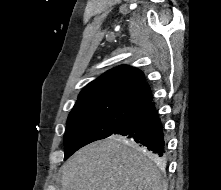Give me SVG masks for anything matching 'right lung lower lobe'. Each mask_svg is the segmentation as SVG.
Segmentation results:
<instances>
[{
	"label": "right lung lower lobe",
	"instance_id": "obj_1",
	"mask_svg": "<svg viewBox=\"0 0 221 190\" xmlns=\"http://www.w3.org/2000/svg\"><path fill=\"white\" fill-rule=\"evenodd\" d=\"M113 134L132 138L159 157L166 153L164 128L152 100L137 108Z\"/></svg>",
	"mask_w": 221,
	"mask_h": 190
}]
</instances>
